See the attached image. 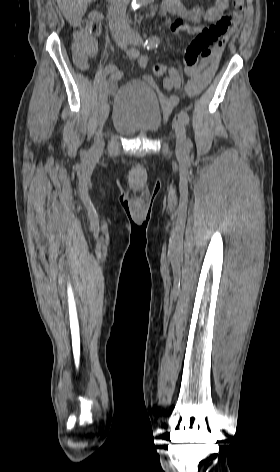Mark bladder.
Masks as SVG:
<instances>
[{"label": "bladder", "instance_id": "31cf9c89", "mask_svg": "<svg viewBox=\"0 0 280 472\" xmlns=\"http://www.w3.org/2000/svg\"><path fill=\"white\" fill-rule=\"evenodd\" d=\"M163 112L154 89L143 81L122 85L114 95L112 125L127 136H149L162 127Z\"/></svg>", "mask_w": 280, "mask_h": 472}]
</instances>
